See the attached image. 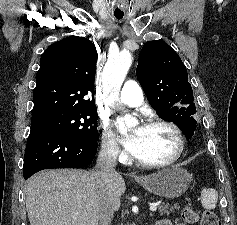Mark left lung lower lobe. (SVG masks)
I'll list each match as a JSON object with an SVG mask.
<instances>
[{"mask_svg": "<svg viewBox=\"0 0 237 225\" xmlns=\"http://www.w3.org/2000/svg\"><path fill=\"white\" fill-rule=\"evenodd\" d=\"M192 136H193V134L185 135V137H186L187 139H190Z\"/></svg>", "mask_w": 237, "mask_h": 225, "instance_id": "0a47b994", "label": "left lung lower lobe"}]
</instances>
